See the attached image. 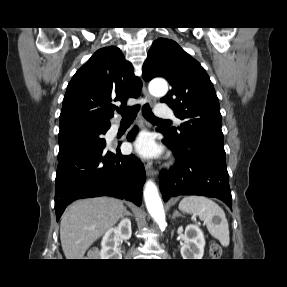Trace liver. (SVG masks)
I'll use <instances>...</instances> for the list:
<instances>
[{"instance_id":"obj_1","label":"liver","mask_w":287,"mask_h":287,"mask_svg":"<svg viewBox=\"0 0 287 287\" xmlns=\"http://www.w3.org/2000/svg\"><path fill=\"white\" fill-rule=\"evenodd\" d=\"M125 212L122 201L109 197L78 200L64 212L60 240L66 259H82L87 249Z\"/></svg>"}]
</instances>
